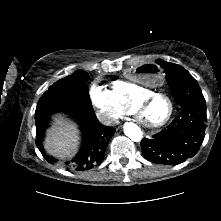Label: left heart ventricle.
<instances>
[{"mask_svg": "<svg viewBox=\"0 0 221 221\" xmlns=\"http://www.w3.org/2000/svg\"><path fill=\"white\" fill-rule=\"evenodd\" d=\"M169 102L164 98H156L145 108V118L149 122H159L169 113Z\"/></svg>", "mask_w": 221, "mask_h": 221, "instance_id": "1", "label": "left heart ventricle"}]
</instances>
